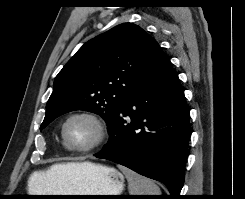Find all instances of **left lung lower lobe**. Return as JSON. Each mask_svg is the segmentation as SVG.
I'll list each match as a JSON object with an SVG mask.
<instances>
[{"label":"left lung lower lobe","instance_id":"0a47b994","mask_svg":"<svg viewBox=\"0 0 245 199\" xmlns=\"http://www.w3.org/2000/svg\"><path fill=\"white\" fill-rule=\"evenodd\" d=\"M189 116L178 75L163 53L150 75L122 102L108 123V145L94 156L164 183L170 199H179L191 135Z\"/></svg>","mask_w":245,"mask_h":199}]
</instances>
